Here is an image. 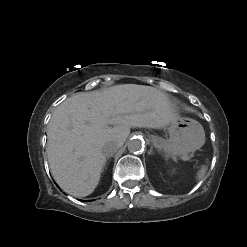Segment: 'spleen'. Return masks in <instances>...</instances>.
Returning a JSON list of instances; mask_svg holds the SVG:
<instances>
[{
    "label": "spleen",
    "mask_w": 247,
    "mask_h": 247,
    "mask_svg": "<svg viewBox=\"0 0 247 247\" xmlns=\"http://www.w3.org/2000/svg\"><path fill=\"white\" fill-rule=\"evenodd\" d=\"M207 171V167L205 165H203L200 170L197 172V180H202L206 174Z\"/></svg>",
    "instance_id": "1"
}]
</instances>
